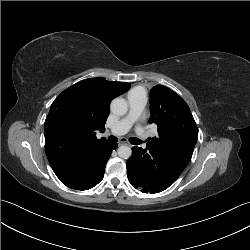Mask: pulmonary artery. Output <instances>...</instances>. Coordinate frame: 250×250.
I'll return each instance as SVG.
<instances>
[{"mask_svg": "<svg viewBox=\"0 0 250 250\" xmlns=\"http://www.w3.org/2000/svg\"><path fill=\"white\" fill-rule=\"evenodd\" d=\"M147 102L145 93L141 92H131L128 95L129 111L125 117H123L119 122L112 126L109 133L113 135H123L127 133L132 125L137 121L140 114L142 113ZM142 139H145V135L140 132Z\"/></svg>", "mask_w": 250, "mask_h": 250, "instance_id": "1", "label": "pulmonary artery"}]
</instances>
